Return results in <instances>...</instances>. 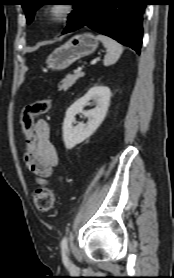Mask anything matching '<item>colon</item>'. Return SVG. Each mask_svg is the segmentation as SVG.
<instances>
[{
	"mask_svg": "<svg viewBox=\"0 0 174 278\" xmlns=\"http://www.w3.org/2000/svg\"><path fill=\"white\" fill-rule=\"evenodd\" d=\"M50 100H38L25 106L21 113V124L24 132V152L25 155L33 153L38 144L34 130V119L49 111ZM35 206L42 212H49L54 206V194L46 187H39L33 193Z\"/></svg>",
	"mask_w": 174,
	"mask_h": 278,
	"instance_id": "colon-1",
	"label": "colon"
}]
</instances>
